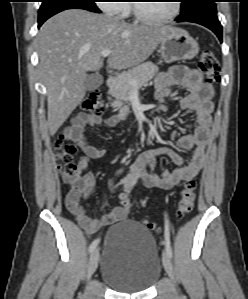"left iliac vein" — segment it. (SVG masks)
Segmentation results:
<instances>
[{"instance_id":"left-iliac-vein-1","label":"left iliac vein","mask_w":248,"mask_h":299,"mask_svg":"<svg viewBox=\"0 0 248 299\" xmlns=\"http://www.w3.org/2000/svg\"><path fill=\"white\" fill-rule=\"evenodd\" d=\"M162 260H163V265H164V268H165L168 276L171 279H174L173 266H172V262H171L170 256L168 255L167 251H163Z\"/></svg>"}]
</instances>
